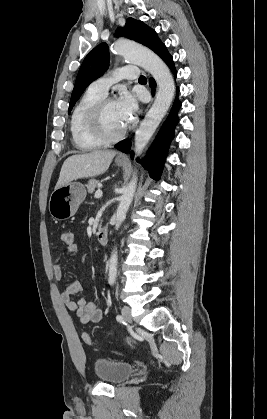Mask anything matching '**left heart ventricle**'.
Masks as SVG:
<instances>
[{
    "mask_svg": "<svg viewBox=\"0 0 267 419\" xmlns=\"http://www.w3.org/2000/svg\"><path fill=\"white\" fill-rule=\"evenodd\" d=\"M103 123L106 131L110 134L120 132L127 125L122 118L117 101L111 102L105 108Z\"/></svg>",
    "mask_w": 267,
    "mask_h": 419,
    "instance_id": "left-heart-ventricle-1",
    "label": "left heart ventricle"
}]
</instances>
